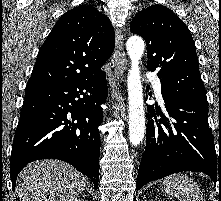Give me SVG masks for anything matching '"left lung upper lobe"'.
I'll list each match as a JSON object with an SVG mask.
<instances>
[{
  "label": "left lung upper lobe",
  "mask_w": 221,
  "mask_h": 201,
  "mask_svg": "<svg viewBox=\"0 0 221 201\" xmlns=\"http://www.w3.org/2000/svg\"><path fill=\"white\" fill-rule=\"evenodd\" d=\"M147 45V69L157 70L161 92L206 99L195 43L188 27L167 7L152 5L131 21Z\"/></svg>",
  "instance_id": "left-lung-upper-lobe-1"
}]
</instances>
